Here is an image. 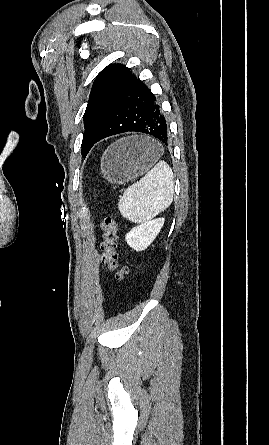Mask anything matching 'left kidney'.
Instances as JSON below:
<instances>
[{"mask_svg":"<svg viewBox=\"0 0 269 445\" xmlns=\"http://www.w3.org/2000/svg\"><path fill=\"white\" fill-rule=\"evenodd\" d=\"M164 221V218H158L132 228L125 236L127 244L136 251L145 250L159 234Z\"/></svg>","mask_w":269,"mask_h":445,"instance_id":"obj_1","label":"left kidney"}]
</instances>
